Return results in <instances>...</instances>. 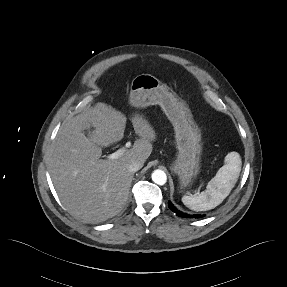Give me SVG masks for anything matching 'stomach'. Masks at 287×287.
<instances>
[{"instance_id":"0dacf381","label":"stomach","mask_w":287,"mask_h":287,"mask_svg":"<svg viewBox=\"0 0 287 287\" xmlns=\"http://www.w3.org/2000/svg\"><path fill=\"white\" fill-rule=\"evenodd\" d=\"M129 103L136 108L160 105L174 127L177 158L171 166L181 189L193 184L200 172L201 131L187 103L151 74L137 75L131 82Z\"/></svg>"}]
</instances>
